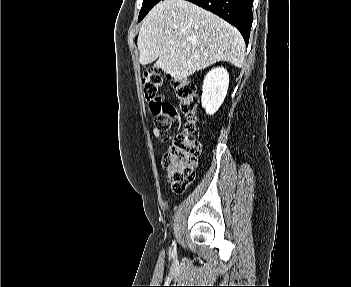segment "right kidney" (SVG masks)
Masks as SVG:
<instances>
[{
    "label": "right kidney",
    "mask_w": 351,
    "mask_h": 287,
    "mask_svg": "<svg viewBox=\"0 0 351 287\" xmlns=\"http://www.w3.org/2000/svg\"><path fill=\"white\" fill-rule=\"evenodd\" d=\"M229 86V74L223 67L211 69L204 78L201 103L208 115H213L223 103Z\"/></svg>",
    "instance_id": "1"
}]
</instances>
